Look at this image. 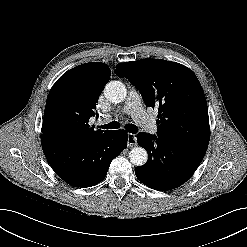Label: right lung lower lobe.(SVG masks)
I'll use <instances>...</instances> for the list:
<instances>
[{
	"label": "right lung lower lobe",
	"instance_id": "98d812e1",
	"mask_svg": "<svg viewBox=\"0 0 247 247\" xmlns=\"http://www.w3.org/2000/svg\"><path fill=\"white\" fill-rule=\"evenodd\" d=\"M125 130L107 131L85 145H70L51 137H41L45 157L54 172L74 187H90L101 182L111 161L127 147Z\"/></svg>",
	"mask_w": 247,
	"mask_h": 247
}]
</instances>
